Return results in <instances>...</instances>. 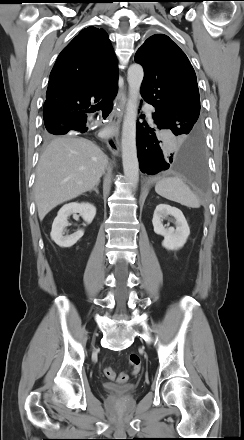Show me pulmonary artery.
Listing matches in <instances>:
<instances>
[{"label":"pulmonary artery","mask_w":244,"mask_h":440,"mask_svg":"<svg viewBox=\"0 0 244 440\" xmlns=\"http://www.w3.org/2000/svg\"><path fill=\"white\" fill-rule=\"evenodd\" d=\"M144 107H145V110L147 112L148 117L151 119L153 107L151 105H147V104Z\"/></svg>","instance_id":"pulmonary-artery-1"}]
</instances>
